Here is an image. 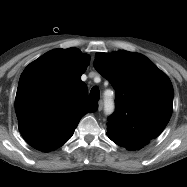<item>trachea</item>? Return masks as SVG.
<instances>
[{"mask_svg":"<svg viewBox=\"0 0 187 187\" xmlns=\"http://www.w3.org/2000/svg\"><path fill=\"white\" fill-rule=\"evenodd\" d=\"M100 98V92L98 87H93L90 91L89 99L93 101H98Z\"/></svg>","mask_w":187,"mask_h":187,"instance_id":"obj_1","label":"trachea"}]
</instances>
